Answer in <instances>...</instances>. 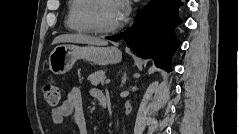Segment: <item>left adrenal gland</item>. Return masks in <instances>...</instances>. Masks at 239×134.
I'll use <instances>...</instances> for the list:
<instances>
[{
	"label": "left adrenal gland",
	"mask_w": 239,
	"mask_h": 134,
	"mask_svg": "<svg viewBox=\"0 0 239 134\" xmlns=\"http://www.w3.org/2000/svg\"><path fill=\"white\" fill-rule=\"evenodd\" d=\"M126 80H127V75H126V73H124L123 76H122L121 86H123L125 84Z\"/></svg>",
	"instance_id": "left-adrenal-gland-1"
}]
</instances>
